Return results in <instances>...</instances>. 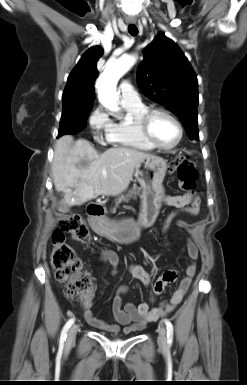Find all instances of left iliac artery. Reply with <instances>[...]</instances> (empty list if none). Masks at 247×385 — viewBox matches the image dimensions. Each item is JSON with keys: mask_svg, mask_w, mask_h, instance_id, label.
<instances>
[{"mask_svg": "<svg viewBox=\"0 0 247 385\" xmlns=\"http://www.w3.org/2000/svg\"><path fill=\"white\" fill-rule=\"evenodd\" d=\"M164 322H165V325H166V328H167V343L171 344L172 341H173V325L167 319H165Z\"/></svg>", "mask_w": 247, "mask_h": 385, "instance_id": "obj_1", "label": "left iliac artery"}]
</instances>
